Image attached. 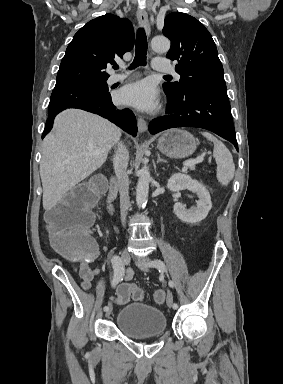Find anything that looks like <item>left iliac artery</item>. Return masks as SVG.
Here are the masks:
<instances>
[{
    "label": "left iliac artery",
    "mask_w": 283,
    "mask_h": 384,
    "mask_svg": "<svg viewBox=\"0 0 283 384\" xmlns=\"http://www.w3.org/2000/svg\"><path fill=\"white\" fill-rule=\"evenodd\" d=\"M149 266L150 267H156L159 272H164L165 271V264L163 261L159 260V259H156V260H153L149 263ZM169 286L170 287H173L174 286V283L173 281H169ZM173 308L174 309H177L178 308V304L177 303H173Z\"/></svg>",
    "instance_id": "1"
}]
</instances>
